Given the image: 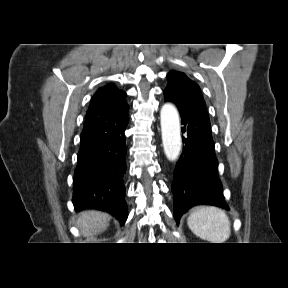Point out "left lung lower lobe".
I'll return each instance as SVG.
<instances>
[{
    "instance_id": "obj_1",
    "label": "left lung lower lobe",
    "mask_w": 288,
    "mask_h": 288,
    "mask_svg": "<svg viewBox=\"0 0 288 288\" xmlns=\"http://www.w3.org/2000/svg\"><path fill=\"white\" fill-rule=\"evenodd\" d=\"M164 99L177 105L183 124L184 147L172 182L177 224L182 215L196 205H213L228 210L218 177V161L206 108L179 105L168 97Z\"/></svg>"
}]
</instances>
